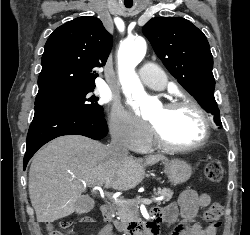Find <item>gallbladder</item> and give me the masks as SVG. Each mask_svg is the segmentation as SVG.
<instances>
[{
    "label": "gallbladder",
    "instance_id": "obj_1",
    "mask_svg": "<svg viewBox=\"0 0 250 235\" xmlns=\"http://www.w3.org/2000/svg\"><path fill=\"white\" fill-rule=\"evenodd\" d=\"M92 209L91 201L87 198H81L76 205V213L84 214Z\"/></svg>",
    "mask_w": 250,
    "mask_h": 235
}]
</instances>
